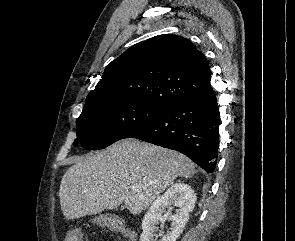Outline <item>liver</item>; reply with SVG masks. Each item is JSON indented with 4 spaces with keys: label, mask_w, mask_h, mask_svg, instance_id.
<instances>
[{
    "label": "liver",
    "mask_w": 295,
    "mask_h": 241,
    "mask_svg": "<svg viewBox=\"0 0 295 241\" xmlns=\"http://www.w3.org/2000/svg\"><path fill=\"white\" fill-rule=\"evenodd\" d=\"M195 164L185 155L134 139L117 142L97 154L76 158L64 174L60 205L66 219L115 209L123 202L141 213L175 178L191 177ZM139 185L138 191L131 186Z\"/></svg>",
    "instance_id": "liver-1"
}]
</instances>
